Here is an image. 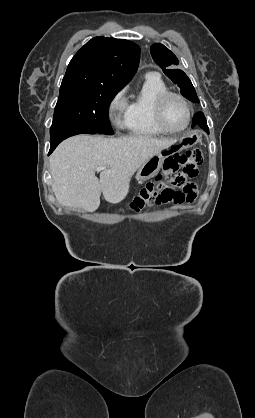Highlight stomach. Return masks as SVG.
Wrapping results in <instances>:
<instances>
[{"label":"stomach","mask_w":255,"mask_h":418,"mask_svg":"<svg viewBox=\"0 0 255 418\" xmlns=\"http://www.w3.org/2000/svg\"><path fill=\"white\" fill-rule=\"evenodd\" d=\"M199 140H200V136L196 131L182 137L171 148L166 149L165 151L156 154L155 156L150 158L148 161H146L138 169L136 173V179L139 182H144L152 178L154 175H156L160 171L166 157H168L169 155H173L174 153L179 152L185 148L194 146Z\"/></svg>","instance_id":"obj_1"}]
</instances>
